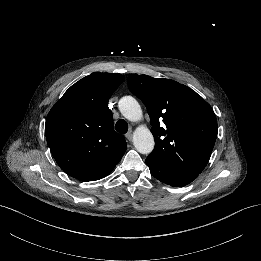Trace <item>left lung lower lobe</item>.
<instances>
[{"mask_svg":"<svg viewBox=\"0 0 261 261\" xmlns=\"http://www.w3.org/2000/svg\"><path fill=\"white\" fill-rule=\"evenodd\" d=\"M151 175L156 179L173 187H183L192 182L200 173L176 170L148 158L146 159Z\"/></svg>","mask_w":261,"mask_h":261,"instance_id":"1","label":"left lung lower lobe"}]
</instances>
